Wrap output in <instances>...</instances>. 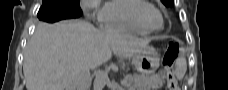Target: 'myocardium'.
I'll return each instance as SVG.
<instances>
[{"label": "myocardium", "mask_w": 228, "mask_h": 90, "mask_svg": "<svg viewBox=\"0 0 228 90\" xmlns=\"http://www.w3.org/2000/svg\"><path fill=\"white\" fill-rule=\"evenodd\" d=\"M151 11L155 12L158 15V17L160 18V20H161V26L160 27H153L149 23L148 15ZM137 19L150 32L160 31L164 28V19H163V15H162L161 11L157 7L152 5L151 3L146 4L145 6H143L142 8H140L137 11Z\"/></svg>", "instance_id": "obj_1"}]
</instances>
